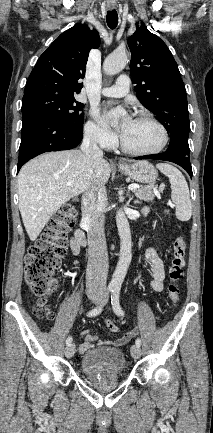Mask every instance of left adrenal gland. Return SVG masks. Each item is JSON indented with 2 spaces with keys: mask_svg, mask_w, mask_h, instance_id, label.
I'll use <instances>...</instances> for the list:
<instances>
[{
  "mask_svg": "<svg viewBox=\"0 0 213 433\" xmlns=\"http://www.w3.org/2000/svg\"><path fill=\"white\" fill-rule=\"evenodd\" d=\"M131 200L133 199L132 197L130 198ZM139 201H134V204H139Z\"/></svg>",
  "mask_w": 213,
  "mask_h": 433,
  "instance_id": "1",
  "label": "left adrenal gland"
}]
</instances>
